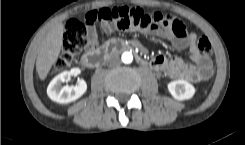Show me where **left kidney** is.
<instances>
[{
    "instance_id": "obj_1",
    "label": "left kidney",
    "mask_w": 245,
    "mask_h": 145,
    "mask_svg": "<svg viewBox=\"0 0 245 145\" xmlns=\"http://www.w3.org/2000/svg\"><path fill=\"white\" fill-rule=\"evenodd\" d=\"M167 87L170 94L180 101L191 99L195 94L194 86L184 80L172 81Z\"/></svg>"
}]
</instances>
